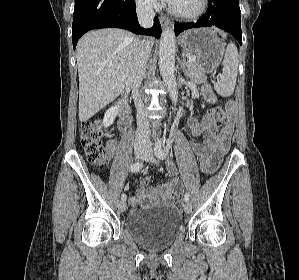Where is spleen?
Returning a JSON list of instances; mask_svg holds the SVG:
<instances>
[{
	"mask_svg": "<svg viewBox=\"0 0 299 280\" xmlns=\"http://www.w3.org/2000/svg\"><path fill=\"white\" fill-rule=\"evenodd\" d=\"M238 64L239 55L237 48L233 43H229L224 54L222 77L214 84V89L219 95L228 97L233 94L236 85Z\"/></svg>",
	"mask_w": 299,
	"mask_h": 280,
	"instance_id": "3e777b00",
	"label": "spleen"
}]
</instances>
